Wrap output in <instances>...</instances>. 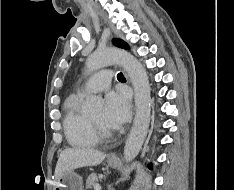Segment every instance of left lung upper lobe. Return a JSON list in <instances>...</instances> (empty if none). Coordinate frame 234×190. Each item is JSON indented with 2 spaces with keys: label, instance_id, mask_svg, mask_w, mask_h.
Here are the masks:
<instances>
[{
  "label": "left lung upper lobe",
  "instance_id": "left-lung-upper-lobe-1",
  "mask_svg": "<svg viewBox=\"0 0 234 190\" xmlns=\"http://www.w3.org/2000/svg\"><path fill=\"white\" fill-rule=\"evenodd\" d=\"M113 44L120 48L129 49L128 44L120 39H113Z\"/></svg>",
  "mask_w": 234,
  "mask_h": 190
}]
</instances>
